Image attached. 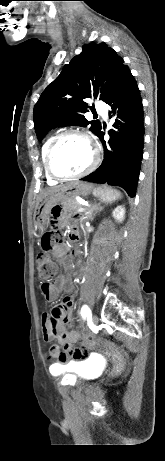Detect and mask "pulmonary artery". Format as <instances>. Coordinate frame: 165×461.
Here are the masks:
<instances>
[{
    "mask_svg": "<svg viewBox=\"0 0 165 461\" xmlns=\"http://www.w3.org/2000/svg\"><path fill=\"white\" fill-rule=\"evenodd\" d=\"M95 108H96V111H97L98 113H100V114L103 115V116H106V114H107V107H106L104 104H102L101 102H99V103L96 104V107H95Z\"/></svg>",
    "mask_w": 165,
    "mask_h": 461,
    "instance_id": "obj_1",
    "label": "pulmonary artery"
}]
</instances>
